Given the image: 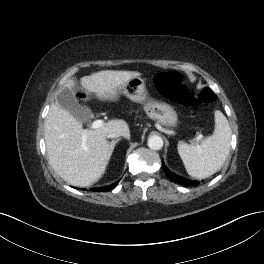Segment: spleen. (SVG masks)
Here are the masks:
<instances>
[{
	"mask_svg": "<svg viewBox=\"0 0 264 264\" xmlns=\"http://www.w3.org/2000/svg\"><path fill=\"white\" fill-rule=\"evenodd\" d=\"M231 147V129L224 114L215 111V129L211 136L200 144L193 145L179 141L178 153L188 174L192 177L207 178L221 169Z\"/></svg>",
	"mask_w": 264,
	"mask_h": 264,
	"instance_id": "obj_1",
	"label": "spleen"
}]
</instances>
